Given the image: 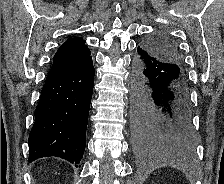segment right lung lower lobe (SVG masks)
I'll list each match as a JSON object with an SVG mask.
<instances>
[{
    "label": "right lung lower lobe",
    "mask_w": 224,
    "mask_h": 184,
    "mask_svg": "<svg viewBox=\"0 0 224 184\" xmlns=\"http://www.w3.org/2000/svg\"><path fill=\"white\" fill-rule=\"evenodd\" d=\"M93 84L92 61L80 70L47 76L29 134L28 162L56 156L79 164L85 150Z\"/></svg>",
    "instance_id": "right-lung-lower-lobe-1"
}]
</instances>
